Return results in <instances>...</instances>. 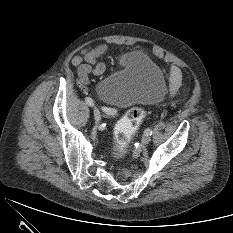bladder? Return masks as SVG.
<instances>
[{"label":"bladder","instance_id":"31cf9c89","mask_svg":"<svg viewBox=\"0 0 233 233\" xmlns=\"http://www.w3.org/2000/svg\"><path fill=\"white\" fill-rule=\"evenodd\" d=\"M166 91L162 69L141 51L124 55L120 68L97 85L99 98L118 109L159 103Z\"/></svg>","mask_w":233,"mask_h":233}]
</instances>
